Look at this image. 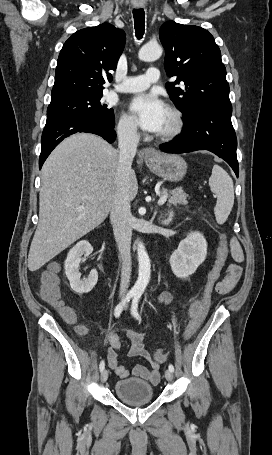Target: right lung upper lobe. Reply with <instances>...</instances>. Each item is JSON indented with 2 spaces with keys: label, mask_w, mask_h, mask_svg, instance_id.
<instances>
[{
  "label": "right lung upper lobe",
  "mask_w": 272,
  "mask_h": 455,
  "mask_svg": "<svg viewBox=\"0 0 272 455\" xmlns=\"http://www.w3.org/2000/svg\"><path fill=\"white\" fill-rule=\"evenodd\" d=\"M123 30L109 23L75 32L63 45L55 71L51 101L103 94V84L112 81L124 49Z\"/></svg>",
  "instance_id": "right-lung-upper-lobe-1"
}]
</instances>
